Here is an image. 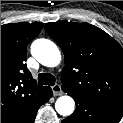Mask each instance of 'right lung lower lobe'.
<instances>
[{
  "instance_id": "98d812e1",
  "label": "right lung lower lobe",
  "mask_w": 123,
  "mask_h": 123,
  "mask_svg": "<svg viewBox=\"0 0 123 123\" xmlns=\"http://www.w3.org/2000/svg\"><path fill=\"white\" fill-rule=\"evenodd\" d=\"M53 95V92L50 87H47V90L45 91L44 95L40 99V101L37 103L36 106H34L30 111L23 114L18 120L12 122V123H34V119L37 113V110L39 107L46 103Z\"/></svg>"
}]
</instances>
